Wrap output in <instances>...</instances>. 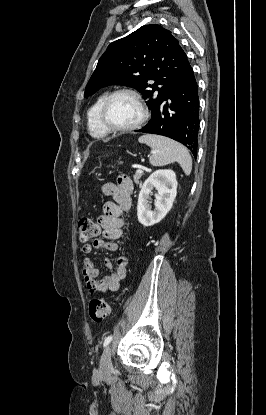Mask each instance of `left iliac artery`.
Wrapping results in <instances>:
<instances>
[{
    "instance_id": "1",
    "label": "left iliac artery",
    "mask_w": 266,
    "mask_h": 415,
    "mask_svg": "<svg viewBox=\"0 0 266 415\" xmlns=\"http://www.w3.org/2000/svg\"><path fill=\"white\" fill-rule=\"evenodd\" d=\"M112 338H113L112 335L106 337L104 340L103 346L106 347L111 342Z\"/></svg>"
}]
</instances>
